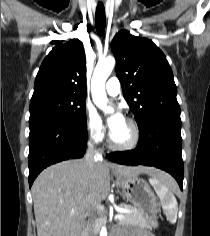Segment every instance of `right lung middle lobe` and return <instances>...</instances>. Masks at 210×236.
<instances>
[{"mask_svg": "<svg viewBox=\"0 0 210 236\" xmlns=\"http://www.w3.org/2000/svg\"><path fill=\"white\" fill-rule=\"evenodd\" d=\"M86 97L48 95L30 102L29 126L44 122H62L86 127Z\"/></svg>", "mask_w": 210, "mask_h": 236, "instance_id": "right-lung-middle-lobe-1", "label": "right lung middle lobe"}]
</instances>
